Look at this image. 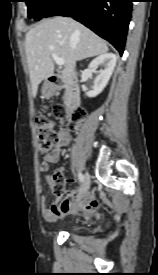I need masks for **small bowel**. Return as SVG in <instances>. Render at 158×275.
Here are the masks:
<instances>
[{
    "label": "small bowel",
    "instance_id": "obj_1",
    "mask_svg": "<svg viewBox=\"0 0 158 275\" xmlns=\"http://www.w3.org/2000/svg\"><path fill=\"white\" fill-rule=\"evenodd\" d=\"M72 139V135L69 129L62 128L58 132V139L54 144V147L45 154L44 161L40 165L42 172H47L50 164H55L59 161L62 154V149L67 146ZM61 167L59 171L63 172ZM47 182L52 185V176L46 175ZM86 195V194H85ZM76 190H71L63 199L55 200L50 206L47 205V199L45 196L41 198V209L44 219L47 221H53L59 216H63L69 213H82L84 215H90L97 211L100 206L99 201L94 194H90L85 197Z\"/></svg>",
    "mask_w": 158,
    "mask_h": 275
}]
</instances>
